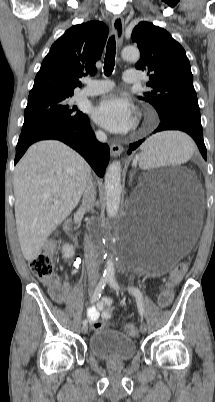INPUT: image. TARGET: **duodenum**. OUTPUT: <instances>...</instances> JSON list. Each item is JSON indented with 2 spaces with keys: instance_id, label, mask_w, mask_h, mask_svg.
Here are the masks:
<instances>
[{
  "instance_id": "410a0bca",
  "label": "duodenum",
  "mask_w": 215,
  "mask_h": 402,
  "mask_svg": "<svg viewBox=\"0 0 215 402\" xmlns=\"http://www.w3.org/2000/svg\"><path fill=\"white\" fill-rule=\"evenodd\" d=\"M66 228H67V232L69 233L70 237H71L73 240H77V235H76V233L74 232L72 221H69V222L67 223Z\"/></svg>"
}]
</instances>
